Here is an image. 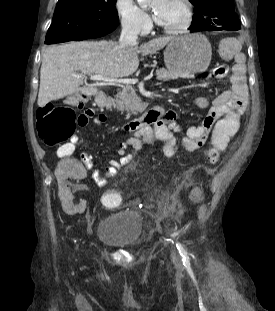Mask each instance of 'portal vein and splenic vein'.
<instances>
[{
    "instance_id": "obj_1",
    "label": "portal vein and splenic vein",
    "mask_w": 275,
    "mask_h": 311,
    "mask_svg": "<svg viewBox=\"0 0 275 311\" xmlns=\"http://www.w3.org/2000/svg\"><path fill=\"white\" fill-rule=\"evenodd\" d=\"M76 77L79 78H84L83 75H75ZM153 74H150L148 76V78H152ZM91 80L94 81H104V82H108V83H113V84H126V85H131V84H136L138 82L137 79H131V78H109V77H105L104 75H100V74H95V75H91L90 76Z\"/></svg>"
}]
</instances>
